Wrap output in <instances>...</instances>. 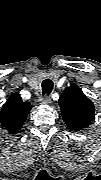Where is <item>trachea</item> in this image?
Masks as SVG:
<instances>
[{
    "instance_id": "1",
    "label": "trachea",
    "mask_w": 101,
    "mask_h": 180,
    "mask_svg": "<svg viewBox=\"0 0 101 180\" xmlns=\"http://www.w3.org/2000/svg\"><path fill=\"white\" fill-rule=\"evenodd\" d=\"M41 86H42V95L44 96V95H48V94H50L51 92H52V89H53V82H52V80H50V79H45L43 82H42V84H41Z\"/></svg>"
}]
</instances>
